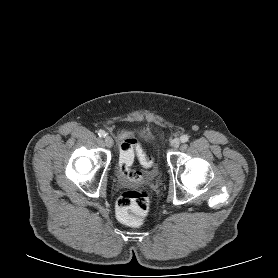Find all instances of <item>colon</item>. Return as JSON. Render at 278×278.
<instances>
[{
    "mask_svg": "<svg viewBox=\"0 0 278 278\" xmlns=\"http://www.w3.org/2000/svg\"><path fill=\"white\" fill-rule=\"evenodd\" d=\"M144 166H151L153 159L146 156L137 147L134 139L125 140L121 145L120 171L124 178L132 182H141L143 173L131 168L134 154ZM151 204V195L146 187H139L124 191L116 201V213L125 224L137 227L143 224Z\"/></svg>",
    "mask_w": 278,
    "mask_h": 278,
    "instance_id": "colon-1",
    "label": "colon"
}]
</instances>
